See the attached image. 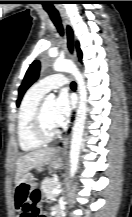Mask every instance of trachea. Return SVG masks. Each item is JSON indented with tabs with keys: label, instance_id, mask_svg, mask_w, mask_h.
Returning <instances> with one entry per match:
<instances>
[{
	"label": "trachea",
	"instance_id": "trachea-1",
	"mask_svg": "<svg viewBox=\"0 0 132 217\" xmlns=\"http://www.w3.org/2000/svg\"><path fill=\"white\" fill-rule=\"evenodd\" d=\"M49 16H50L52 22L54 23V25L56 26L60 35L63 36L64 30H63V26H62V22H61V18L59 16V14L58 13H49ZM71 87L76 88V83L72 82Z\"/></svg>",
	"mask_w": 132,
	"mask_h": 217
}]
</instances>
